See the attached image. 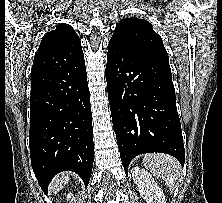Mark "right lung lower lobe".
Wrapping results in <instances>:
<instances>
[{
  "mask_svg": "<svg viewBox=\"0 0 222 203\" xmlns=\"http://www.w3.org/2000/svg\"><path fill=\"white\" fill-rule=\"evenodd\" d=\"M29 146L42 190L61 171H74L88 185L94 155L85 62L31 73Z\"/></svg>",
  "mask_w": 222,
  "mask_h": 203,
  "instance_id": "1",
  "label": "right lung lower lobe"
}]
</instances>
